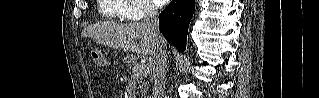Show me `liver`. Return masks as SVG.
Instances as JSON below:
<instances>
[{"label": "liver", "instance_id": "liver-1", "mask_svg": "<svg viewBox=\"0 0 319 98\" xmlns=\"http://www.w3.org/2000/svg\"><path fill=\"white\" fill-rule=\"evenodd\" d=\"M83 34L97 43L123 51L136 52L142 56H153L156 44L147 28L138 23L103 22L88 26ZM137 39L140 42L137 43Z\"/></svg>", "mask_w": 319, "mask_h": 98}]
</instances>
